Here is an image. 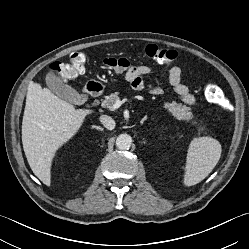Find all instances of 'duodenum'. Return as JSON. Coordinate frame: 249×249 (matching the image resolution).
<instances>
[{"mask_svg": "<svg viewBox=\"0 0 249 249\" xmlns=\"http://www.w3.org/2000/svg\"><path fill=\"white\" fill-rule=\"evenodd\" d=\"M102 92V88L100 86V84L96 83V82H89L87 83V85L84 88L83 93L85 95H87L88 97L91 98H96L98 97Z\"/></svg>", "mask_w": 249, "mask_h": 249, "instance_id": "duodenum-1", "label": "duodenum"}]
</instances>
